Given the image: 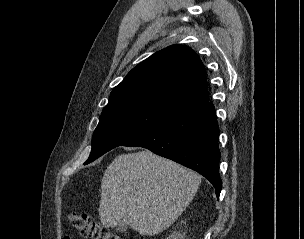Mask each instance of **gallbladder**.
I'll return each instance as SVG.
<instances>
[{"label": "gallbladder", "mask_w": 304, "mask_h": 239, "mask_svg": "<svg viewBox=\"0 0 304 239\" xmlns=\"http://www.w3.org/2000/svg\"><path fill=\"white\" fill-rule=\"evenodd\" d=\"M128 229V226L126 224H118L115 226V230L119 233H125Z\"/></svg>", "instance_id": "1"}]
</instances>
